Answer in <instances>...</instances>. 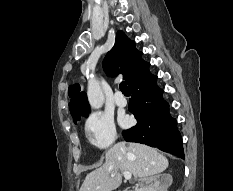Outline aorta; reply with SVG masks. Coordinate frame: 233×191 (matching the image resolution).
<instances>
[{"mask_svg": "<svg viewBox=\"0 0 233 191\" xmlns=\"http://www.w3.org/2000/svg\"><path fill=\"white\" fill-rule=\"evenodd\" d=\"M87 96L89 104L93 109H100L103 106L104 96L95 80L88 82Z\"/></svg>", "mask_w": 233, "mask_h": 191, "instance_id": "762f6f07", "label": "aorta"}]
</instances>
